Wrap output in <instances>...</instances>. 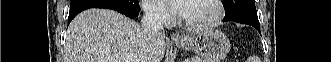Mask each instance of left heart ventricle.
<instances>
[{"label": "left heart ventricle", "instance_id": "obj_1", "mask_svg": "<svg viewBox=\"0 0 331 62\" xmlns=\"http://www.w3.org/2000/svg\"><path fill=\"white\" fill-rule=\"evenodd\" d=\"M216 14V9L210 0H192L186 4L182 17L190 23L210 21Z\"/></svg>", "mask_w": 331, "mask_h": 62}]
</instances>
